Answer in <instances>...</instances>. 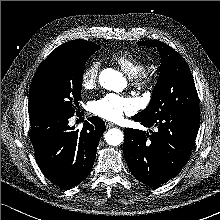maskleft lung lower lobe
Wrapping results in <instances>:
<instances>
[{
  "label": "left lung lower lobe",
  "instance_id": "obj_1",
  "mask_svg": "<svg viewBox=\"0 0 220 220\" xmlns=\"http://www.w3.org/2000/svg\"><path fill=\"white\" fill-rule=\"evenodd\" d=\"M132 119L145 127L158 128L151 134L125 129L124 156L134 177L146 185L157 186L177 176L195 145L200 113L173 111L153 119L139 115Z\"/></svg>",
  "mask_w": 220,
  "mask_h": 220
}]
</instances>
